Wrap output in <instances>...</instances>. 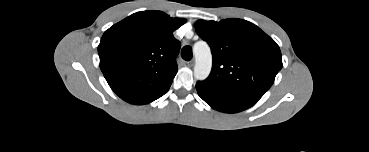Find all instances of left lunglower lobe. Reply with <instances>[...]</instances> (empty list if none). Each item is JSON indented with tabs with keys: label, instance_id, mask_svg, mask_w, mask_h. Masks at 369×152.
Returning <instances> with one entry per match:
<instances>
[{
	"label": "left lung lower lobe",
	"instance_id": "left-lung-lower-lobe-1",
	"mask_svg": "<svg viewBox=\"0 0 369 152\" xmlns=\"http://www.w3.org/2000/svg\"><path fill=\"white\" fill-rule=\"evenodd\" d=\"M196 89L199 96L213 109L226 113L243 111L260 99L251 94L229 91L206 81H198Z\"/></svg>",
	"mask_w": 369,
	"mask_h": 152
}]
</instances>
